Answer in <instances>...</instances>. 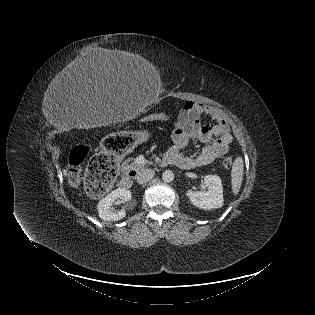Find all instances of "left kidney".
Listing matches in <instances>:
<instances>
[{
    "label": "left kidney",
    "instance_id": "left-kidney-1",
    "mask_svg": "<svg viewBox=\"0 0 315 315\" xmlns=\"http://www.w3.org/2000/svg\"><path fill=\"white\" fill-rule=\"evenodd\" d=\"M204 184L207 186L208 191L187 190L186 195L190 202L194 206L205 210L221 208L224 198L220 177L217 175H206Z\"/></svg>",
    "mask_w": 315,
    "mask_h": 315
}]
</instances>
